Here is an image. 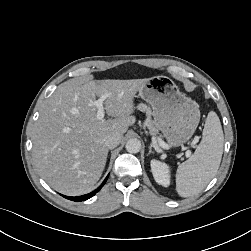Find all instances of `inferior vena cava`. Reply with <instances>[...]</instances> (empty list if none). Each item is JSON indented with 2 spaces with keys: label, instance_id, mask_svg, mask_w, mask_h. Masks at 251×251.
Listing matches in <instances>:
<instances>
[{
  "label": "inferior vena cava",
  "instance_id": "1",
  "mask_svg": "<svg viewBox=\"0 0 251 251\" xmlns=\"http://www.w3.org/2000/svg\"><path fill=\"white\" fill-rule=\"evenodd\" d=\"M120 143V137L117 135H109L104 139V144L108 149L117 147Z\"/></svg>",
  "mask_w": 251,
  "mask_h": 251
}]
</instances>
